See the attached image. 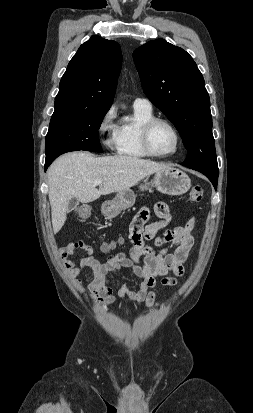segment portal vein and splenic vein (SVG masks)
I'll return each instance as SVG.
<instances>
[{
  "instance_id": "18ae733b",
  "label": "portal vein and splenic vein",
  "mask_w": 253,
  "mask_h": 413,
  "mask_svg": "<svg viewBox=\"0 0 253 413\" xmlns=\"http://www.w3.org/2000/svg\"><path fill=\"white\" fill-rule=\"evenodd\" d=\"M102 183V181L101 180H96V181H94V185H100Z\"/></svg>"
}]
</instances>
